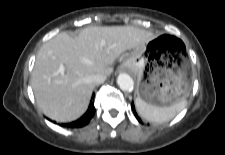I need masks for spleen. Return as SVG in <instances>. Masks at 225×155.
<instances>
[{"label": "spleen", "mask_w": 225, "mask_h": 155, "mask_svg": "<svg viewBox=\"0 0 225 155\" xmlns=\"http://www.w3.org/2000/svg\"><path fill=\"white\" fill-rule=\"evenodd\" d=\"M186 104V99H182L170 106H153L146 103L139 97L135 100V105L139 114L148 121L158 123L174 118L176 114L185 108Z\"/></svg>", "instance_id": "1"}]
</instances>
